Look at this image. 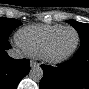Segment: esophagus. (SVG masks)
Listing matches in <instances>:
<instances>
[{"mask_svg": "<svg viewBox=\"0 0 89 89\" xmlns=\"http://www.w3.org/2000/svg\"><path fill=\"white\" fill-rule=\"evenodd\" d=\"M30 66H31L32 68L38 67V66H39V63H37V62L31 60V61H30Z\"/></svg>", "mask_w": 89, "mask_h": 89, "instance_id": "obj_1", "label": "esophagus"}]
</instances>
